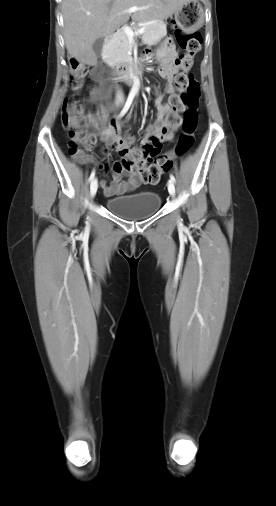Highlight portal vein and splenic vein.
<instances>
[{
  "label": "portal vein and splenic vein",
  "mask_w": 276,
  "mask_h": 506,
  "mask_svg": "<svg viewBox=\"0 0 276 506\" xmlns=\"http://www.w3.org/2000/svg\"><path fill=\"white\" fill-rule=\"evenodd\" d=\"M140 9L141 8H139V7L133 6V7L129 8V9L125 10V12H127V13H133V12H136V11H138ZM123 31L127 34V36L133 37L135 35H141V34H143L144 31H145V28L142 27V28H140V29H138L136 31H133L129 26H124Z\"/></svg>",
  "instance_id": "1"
}]
</instances>
